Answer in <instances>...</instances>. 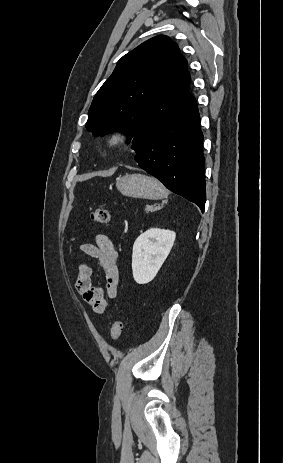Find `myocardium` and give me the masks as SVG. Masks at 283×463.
<instances>
[{"label":"myocardium","instance_id":"1","mask_svg":"<svg viewBox=\"0 0 283 463\" xmlns=\"http://www.w3.org/2000/svg\"><path fill=\"white\" fill-rule=\"evenodd\" d=\"M127 141V135L120 129H114L106 133L102 138L101 152L111 154L122 148Z\"/></svg>","mask_w":283,"mask_h":463}]
</instances>
